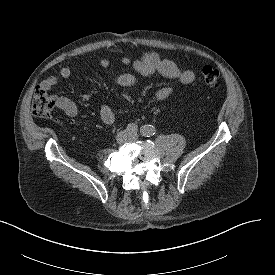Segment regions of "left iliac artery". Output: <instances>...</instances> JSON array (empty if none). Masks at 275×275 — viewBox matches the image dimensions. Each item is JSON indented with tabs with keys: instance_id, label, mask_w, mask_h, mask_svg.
<instances>
[{
	"instance_id": "left-iliac-artery-1",
	"label": "left iliac artery",
	"mask_w": 275,
	"mask_h": 275,
	"mask_svg": "<svg viewBox=\"0 0 275 275\" xmlns=\"http://www.w3.org/2000/svg\"><path fill=\"white\" fill-rule=\"evenodd\" d=\"M140 133L145 137H150L156 133V129L153 125H144L140 128Z\"/></svg>"
}]
</instances>
